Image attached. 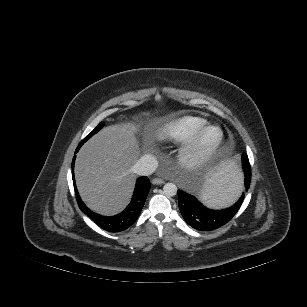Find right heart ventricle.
<instances>
[{"label":"right heart ventricle","mask_w":307,"mask_h":307,"mask_svg":"<svg viewBox=\"0 0 307 307\" xmlns=\"http://www.w3.org/2000/svg\"><path fill=\"white\" fill-rule=\"evenodd\" d=\"M206 125L207 120L204 118L184 116L161 126L157 130L156 136L162 140L186 141Z\"/></svg>","instance_id":"e07e8e85"}]
</instances>
